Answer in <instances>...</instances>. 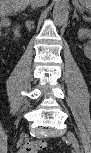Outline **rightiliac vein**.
<instances>
[{
	"label": "right iliac vein",
	"instance_id": "obj_1",
	"mask_svg": "<svg viewBox=\"0 0 91 153\" xmlns=\"http://www.w3.org/2000/svg\"><path fill=\"white\" fill-rule=\"evenodd\" d=\"M24 136H25V135H23V136L20 138V140H19V144L22 143Z\"/></svg>",
	"mask_w": 91,
	"mask_h": 153
}]
</instances>
